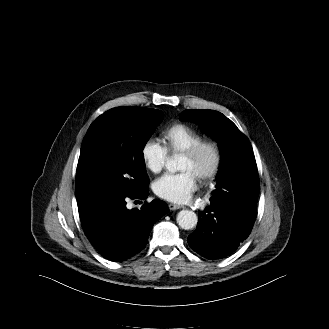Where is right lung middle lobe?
<instances>
[{"instance_id": "right-lung-middle-lobe-1", "label": "right lung middle lobe", "mask_w": 329, "mask_h": 329, "mask_svg": "<svg viewBox=\"0 0 329 329\" xmlns=\"http://www.w3.org/2000/svg\"><path fill=\"white\" fill-rule=\"evenodd\" d=\"M163 113L157 109L116 107L99 116L82 143L76 170L81 197L96 188L137 194L148 186L143 148Z\"/></svg>"}]
</instances>
